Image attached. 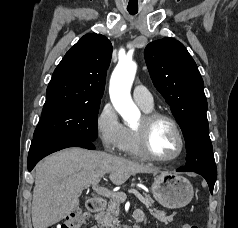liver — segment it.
Masks as SVG:
<instances>
[{
	"label": "liver",
	"instance_id": "obj_1",
	"mask_svg": "<svg viewBox=\"0 0 238 228\" xmlns=\"http://www.w3.org/2000/svg\"><path fill=\"white\" fill-rule=\"evenodd\" d=\"M159 170L101 151L68 148L36 165L32 200L34 228H48L79 207L83 188L96 185L109 173L115 185L125 183L137 173Z\"/></svg>",
	"mask_w": 238,
	"mask_h": 228
}]
</instances>
